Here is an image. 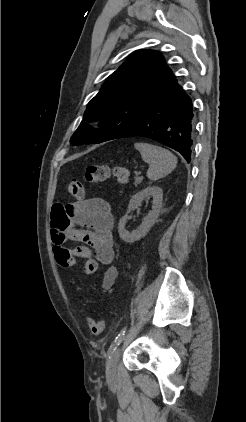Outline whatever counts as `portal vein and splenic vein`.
<instances>
[{
	"label": "portal vein and splenic vein",
	"instance_id": "18ae733b",
	"mask_svg": "<svg viewBox=\"0 0 246 422\" xmlns=\"http://www.w3.org/2000/svg\"><path fill=\"white\" fill-rule=\"evenodd\" d=\"M136 174H137V175H139V174H140V172L138 171Z\"/></svg>",
	"mask_w": 246,
	"mask_h": 422
}]
</instances>
